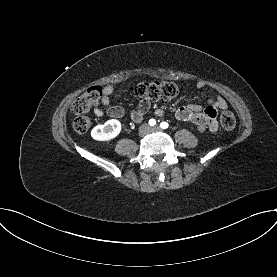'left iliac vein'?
Returning <instances> with one entry per match:
<instances>
[{
	"label": "left iliac vein",
	"mask_w": 277,
	"mask_h": 277,
	"mask_svg": "<svg viewBox=\"0 0 277 277\" xmlns=\"http://www.w3.org/2000/svg\"><path fill=\"white\" fill-rule=\"evenodd\" d=\"M150 131H152V132L161 131V128L158 127V126H154V127H152V128L150 129Z\"/></svg>",
	"instance_id": "1"
}]
</instances>
